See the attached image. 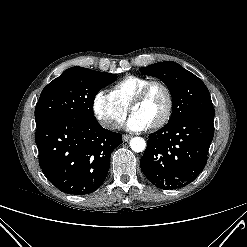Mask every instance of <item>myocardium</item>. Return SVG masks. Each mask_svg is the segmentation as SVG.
<instances>
[{"label": "myocardium", "mask_w": 247, "mask_h": 247, "mask_svg": "<svg viewBox=\"0 0 247 247\" xmlns=\"http://www.w3.org/2000/svg\"><path fill=\"white\" fill-rule=\"evenodd\" d=\"M155 87L163 90L166 96L167 105L163 116L158 121L150 125V128L152 129H157L164 126L172 116L174 108V97L170 87L163 81L151 80L138 91V93L133 97L129 104V110L130 112H133L134 107L143 102L147 98L151 90Z\"/></svg>", "instance_id": "obj_1"}]
</instances>
